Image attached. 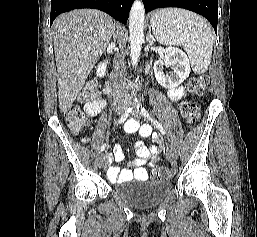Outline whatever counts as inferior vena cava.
I'll return each instance as SVG.
<instances>
[{"label": "inferior vena cava", "instance_id": "1", "mask_svg": "<svg viewBox=\"0 0 257 237\" xmlns=\"http://www.w3.org/2000/svg\"><path fill=\"white\" fill-rule=\"evenodd\" d=\"M114 46V44H111ZM125 55L117 53L114 67L113 99L115 103H128L129 95L126 91Z\"/></svg>", "mask_w": 257, "mask_h": 237}]
</instances>
